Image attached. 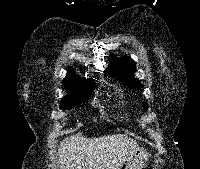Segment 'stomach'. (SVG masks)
Instances as JSON below:
<instances>
[{"mask_svg":"<svg viewBox=\"0 0 200 169\" xmlns=\"http://www.w3.org/2000/svg\"><path fill=\"white\" fill-rule=\"evenodd\" d=\"M148 153L144 149L132 152L118 169H142L148 161Z\"/></svg>","mask_w":200,"mask_h":169,"instance_id":"obj_1","label":"stomach"}]
</instances>
